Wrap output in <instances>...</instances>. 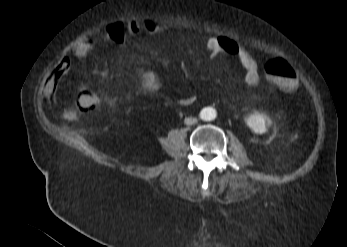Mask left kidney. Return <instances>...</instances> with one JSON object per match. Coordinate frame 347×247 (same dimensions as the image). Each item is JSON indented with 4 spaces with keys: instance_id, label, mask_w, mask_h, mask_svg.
Listing matches in <instances>:
<instances>
[{
    "instance_id": "left-kidney-1",
    "label": "left kidney",
    "mask_w": 347,
    "mask_h": 247,
    "mask_svg": "<svg viewBox=\"0 0 347 247\" xmlns=\"http://www.w3.org/2000/svg\"><path fill=\"white\" fill-rule=\"evenodd\" d=\"M246 124L257 134L267 132L268 126L271 125V120L265 113L254 112L246 118Z\"/></svg>"
}]
</instances>
